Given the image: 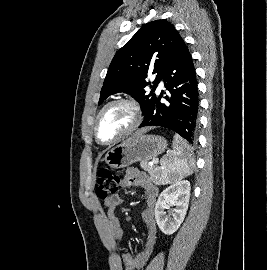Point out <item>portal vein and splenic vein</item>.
I'll return each instance as SVG.
<instances>
[{"instance_id": "18ae733b", "label": "portal vein and splenic vein", "mask_w": 267, "mask_h": 270, "mask_svg": "<svg viewBox=\"0 0 267 270\" xmlns=\"http://www.w3.org/2000/svg\"><path fill=\"white\" fill-rule=\"evenodd\" d=\"M157 162H158L157 159H153L152 162H151V165H153V164H155V163H157Z\"/></svg>"}]
</instances>
